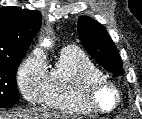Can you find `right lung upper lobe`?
Returning <instances> with one entry per match:
<instances>
[{"instance_id":"1","label":"right lung upper lobe","mask_w":142,"mask_h":119,"mask_svg":"<svg viewBox=\"0 0 142 119\" xmlns=\"http://www.w3.org/2000/svg\"><path fill=\"white\" fill-rule=\"evenodd\" d=\"M38 11L19 7L0 9V59L25 55L35 34L41 27Z\"/></svg>"}]
</instances>
